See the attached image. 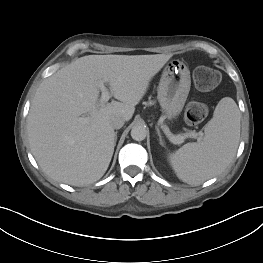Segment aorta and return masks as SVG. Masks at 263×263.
<instances>
[{
    "label": "aorta",
    "instance_id": "obj_1",
    "mask_svg": "<svg viewBox=\"0 0 263 263\" xmlns=\"http://www.w3.org/2000/svg\"><path fill=\"white\" fill-rule=\"evenodd\" d=\"M147 136V130L142 125H136L131 130V137L136 141H142Z\"/></svg>",
    "mask_w": 263,
    "mask_h": 263
}]
</instances>
